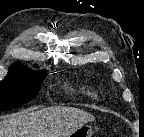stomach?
<instances>
[{
    "label": "stomach",
    "instance_id": "obj_1",
    "mask_svg": "<svg viewBox=\"0 0 144 137\" xmlns=\"http://www.w3.org/2000/svg\"><path fill=\"white\" fill-rule=\"evenodd\" d=\"M94 131L89 125H82L76 128L68 137H92Z\"/></svg>",
    "mask_w": 144,
    "mask_h": 137
}]
</instances>
